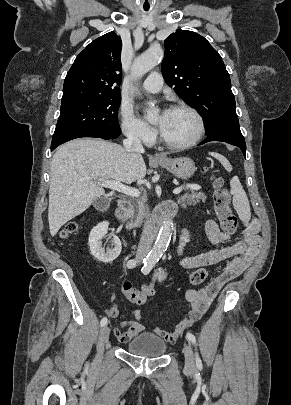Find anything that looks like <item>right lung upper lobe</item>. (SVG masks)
<instances>
[{"label":"right lung upper lobe","mask_w":291,"mask_h":405,"mask_svg":"<svg viewBox=\"0 0 291 405\" xmlns=\"http://www.w3.org/2000/svg\"><path fill=\"white\" fill-rule=\"evenodd\" d=\"M121 38L109 32L91 42L75 59L68 71L61 102L120 96L122 80Z\"/></svg>","instance_id":"1"}]
</instances>
